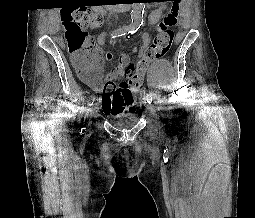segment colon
Listing matches in <instances>:
<instances>
[{"mask_svg": "<svg viewBox=\"0 0 255 218\" xmlns=\"http://www.w3.org/2000/svg\"><path fill=\"white\" fill-rule=\"evenodd\" d=\"M164 1L173 3L172 11L158 25L155 36L140 59L136 63L129 64L128 78L121 79L117 86L113 80L103 81L99 75L93 74L86 60L87 54H96L94 40L89 30L101 26L104 22L103 18L85 7L69 8L61 13L67 48L75 72L85 84L94 89L103 88L102 106L109 114L135 111L133 91H138L142 86L144 73L149 63L166 54L172 45L174 33L170 27L176 23L179 0Z\"/></svg>", "mask_w": 255, "mask_h": 218, "instance_id": "5ec220e1", "label": "colon"}]
</instances>
